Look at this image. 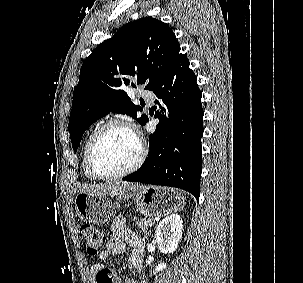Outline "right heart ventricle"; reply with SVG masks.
<instances>
[{"label":"right heart ventricle","mask_w":303,"mask_h":283,"mask_svg":"<svg viewBox=\"0 0 303 283\" xmlns=\"http://www.w3.org/2000/svg\"><path fill=\"white\" fill-rule=\"evenodd\" d=\"M98 127L99 126H94L93 128L90 129V131L88 132V134L84 140L83 146H82V158H81L82 170H83L84 176L88 180H91V181L98 180V178H96L89 169V166L87 163V149H88L89 143L92 139V136L94 135V133Z\"/></svg>","instance_id":"right-heart-ventricle-1"}]
</instances>
